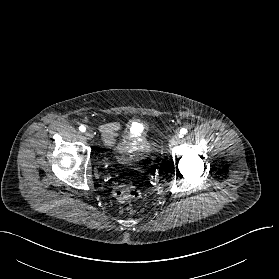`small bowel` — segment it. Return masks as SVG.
I'll list each match as a JSON object with an SVG mask.
<instances>
[{"label":"small bowel","instance_id":"obj_1","mask_svg":"<svg viewBox=\"0 0 279 279\" xmlns=\"http://www.w3.org/2000/svg\"><path fill=\"white\" fill-rule=\"evenodd\" d=\"M122 130L123 125L119 122H109L99 126L103 142L109 147L116 144V138L120 135Z\"/></svg>","mask_w":279,"mask_h":279}]
</instances>
